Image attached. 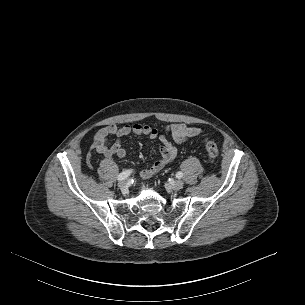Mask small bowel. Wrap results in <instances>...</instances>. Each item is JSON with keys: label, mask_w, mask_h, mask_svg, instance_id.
Returning <instances> with one entry per match:
<instances>
[{"label": "small bowel", "mask_w": 305, "mask_h": 305, "mask_svg": "<svg viewBox=\"0 0 305 305\" xmlns=\"http://www.w3.org/2000/svg\"><path fill=\"white\" fill-rule=\"evenodd\" d=\"M165 131L179 144H183L190 138L203 133L202 129L191 124H170L166 126ZM131 134L146 135L159 141V156L151 167L141 172L143 179L151 178L175 159L177 149L172 144L170 138L166 134H160L156 127L147 124L135 123L124 126L107 125L96 133L94 146L99 153L107 158H125L127 156V150L122 146L121 138ZM110 136L117 138L112 145H109Z\"/></svg>", "instance_id": "1"}]
</instances>
